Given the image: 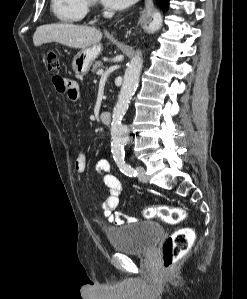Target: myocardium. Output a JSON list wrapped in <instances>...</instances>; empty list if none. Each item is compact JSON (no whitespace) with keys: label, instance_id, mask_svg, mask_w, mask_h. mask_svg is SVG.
Segmentation results:
<instances>
[{"label":"myocardium","instance_id":"obj_1","mask_svg":"<svg viewBox=\"0 0 247 299\" xmlns=\"http://www.w3.org/2000/svg\"><path fill=\"white\" fill-rule=\"evenodd\" d=\"M88 6H91L94 4L95 0H86Z\"/></svg>","mask_w":247,"mask_h":299}]
</instances>
